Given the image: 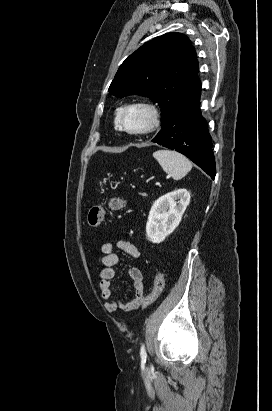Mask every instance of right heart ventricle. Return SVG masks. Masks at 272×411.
Wrapping results in <instances>:
<instances>
[{
	"mask_svg": "<svg viewBox=\"0 0 272 411\" xmlns=\"http://www.w3.org/2000/svg\"><path fill=\"white\" fill-rule=\"evenodd\" d=\"M120 110H121V109H118V110L116 111V113H115L114 125H115V128H116V129L119 128V127H118V115H119Z\"/></svg>",
	"mask_w": 272,
	"mask_h": 411,
	"instance_id": "1",
	"label": "right heart ventricle"
}]
</instances>
